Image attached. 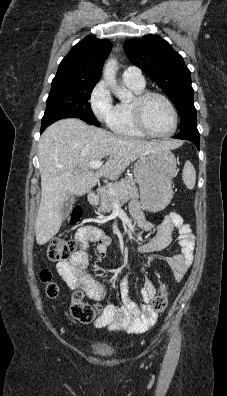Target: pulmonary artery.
Instances as JSON below:
<instances>
[{
    "mask_svg": "<svg viewBox=\"0 0 227 396\" xmlns=\"http://www.w3.org/2000/svg\"><path fill=\"white\" fill-rule=\"evenodd\" d=\"M122 78L125 82H133L137 84H144L145 79L142 75L141 70L136 66L127 67L122 74Z\"/></svg>",
    "mask_w": 227,
    "mask_h": 396,
    "instance_id": "1",
    "label": "pulmonary artery"
}]
</instances>
